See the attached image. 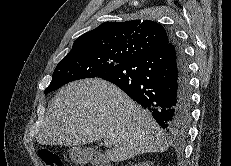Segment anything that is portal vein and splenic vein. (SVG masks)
Listing matches in <instances>:
<instances>
[{
	"instance_id": "portal-vein-and-splenic-vein-1",
	"label": "portal vein and splenic vein",
	"mask_w": 231,
	"mask_h": 166,
	"mask_svg": "<svg viewBox=\"0 0 231 166\" xmlns=\"http://www.w3.org/2000/svg\"><path fill=\"white\" fill-rule=\"evenodd\" d=\"M103 143H104L105 146L110 145V141L108 139H103Z\"/></svg>"
}]
</instances>
